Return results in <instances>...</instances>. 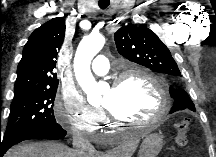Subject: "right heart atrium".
I'll return each mask as SVG.
<instances>
[{"label":"right heart atrium","instance_id":"1","mask_svg":"<svg viewBox=\"0 0 216 157\" xmlns=\"http://www.w3.org/2000/svg\"><path fill=\"white\" fill-rule=\"evenodd\" d=\"M54 115L71 133L86 136L96 133L106 119L103 109L90 105L76 89L57 95Z\"/></svg>","mask_w":216,"mask_h":157}]
</instances>
